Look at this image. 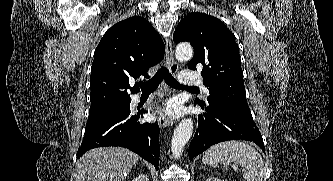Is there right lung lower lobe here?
<instances>
[{"label": "right lung lower lobe", "mask_w": 333, "mask_h": 181, "mask_svg": "<svg viewBox=\"0 0 333 181\" xmlns=\"http://www.w3.org/2000/svg\"><path fill=\"white\" fill-rule=\"evenodd\" d=\"M142 117V113L131 114L129 105L110 117L86 125L85 136L78 149L77 158L92 148L120 146L137 153L152 163L157 170L160 130L158 124L138 122Z\"/></svg>", "instance_id": "obj_1"}]
</instances>
